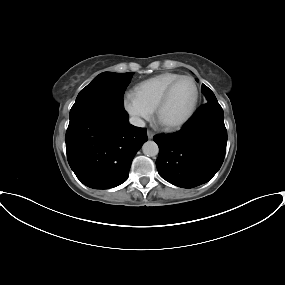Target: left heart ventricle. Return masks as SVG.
Here are the masks:
<instances>
[{
    "mask_svg": "<svg viewBox=\"0 0 285 285\" xmlns=\"http://www.w3.org/2000/svg\"><path fill=\"white\" fill-rule=\"evenodd\" d=\"M195 99L191 80L182 79L174 87L170 98L160 113V122L171 124L181 120L190 111Z\"/></svg>",
    "mask_w": 285,
    "mask_h": 285,
    "instance_id": "obj_1",
    "label": "left heart ventricle"
}]
</instances>
